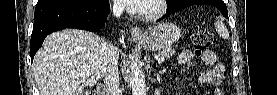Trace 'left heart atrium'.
Wrapping results in <instances>:
<instances>
[{
	"label": "left heart atrium",
	"instance_id": "left-heart-atrium-1",
	"mask_svg": "<svg viewBox=\"0 0 277 95\" xmlns=\"http://www.w3.org/2000/svg\"><path fill=\"white\" fill-rule=\"evenodd\" d=\"M147 1L149 0H118V2L122 4V6L134 11L143 9Z\"/></svg>",
	"mask_w": 277,
	"mask_h": 95
}]
</instances>
